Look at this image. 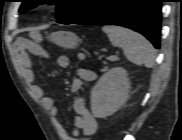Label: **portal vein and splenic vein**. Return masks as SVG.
<instances>
[{"mask_svg":"<svg viewBox=\"0 0 182 140\" xmlns=\"http://www.w3.org/2000/svg\"><path fill=\"white\" fill-rule=\"evenodd\" d=\"M108 59H109L110 61H115V60H117V56L112 55V56H109Z\"/></svg>","mask_w":182,"mask_h":140,"instance_id":"obj_1","label":"portal vein and splenic vein"}]
</instances>
